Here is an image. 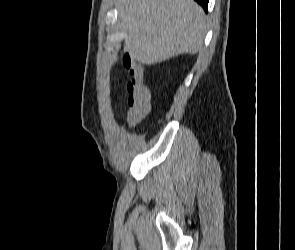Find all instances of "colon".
Masks as SVG:
<instances>
[{
	"instance_id": "colon-1",
	"label": "colon",
	"mask_w": 295,
	"mask_h": 250,
	"mask_svg": "<svg viewBox=\"0 0 295 250\" xmlns=\"http://www.w3.org/2000/svg\"><path fill=\"white\" fill-rule=\"evenodd\" d=\"M150 93L144 77H133L127 83V114L130 125L141 122L149 112Z\"/></svg>"
}]
</instances>
